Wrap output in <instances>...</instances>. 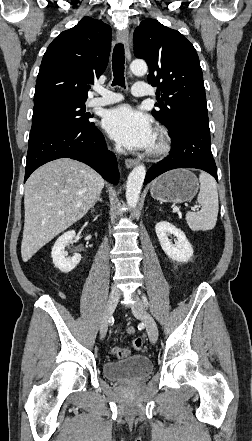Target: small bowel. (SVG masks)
I'll list each match as a JSON object with an SVG mask.
<instances>
[{"label": "small bowel", "instance_id": "small-bowel-1", "mask_svg": "<svg viewBox=\"0 0 252 441\" xmlns=\"http://www.w3.org/2000/svg\"><path fill=\"white\" fill-rule=\"evenodd\" d=\"M133 331V329L132 328H127V332H132Z\"/></svg>", "mask_w": 252, "mask_h": 441}]
</instances>
